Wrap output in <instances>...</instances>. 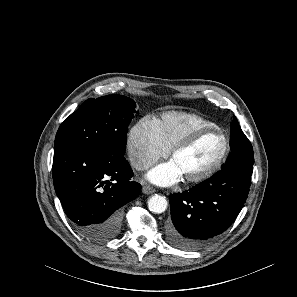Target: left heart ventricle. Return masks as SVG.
Returning a JSON list of instances; mask_svg holds the SVG:
<instances>
[{
	"label": "left heart ventricle",
	"instance_id": "b2bd125f",
	"mask_svg": "<svg viewBox=\"0 0 297 297\" xmlns=\"http://www.w3.org/2000/svg\"><path fill=\"white\" fill-rule=\"evenodd\" d=\"M223 141L217 133L200 136L190 147L176 154L172 161L183 178L201 174L219 158Z\"/></svg>",
	"mask_w": 297,
	"mask_h": 297
}]
</instances>
